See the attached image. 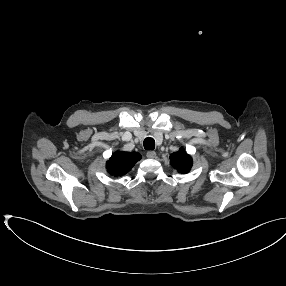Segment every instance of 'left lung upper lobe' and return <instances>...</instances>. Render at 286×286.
I'll return each instance as SVG.
<instances>
[{
	"instance_id": "5c2ea615",
	"label": "left lung upper lobe",
	"mask_w": 286,
	"mask_h": 286,
	"mask_svg": "<svg viewBox=\"0 0 286 286\" xmlns=\"http://www.w3.org/2000/svg\"><path fill=\"white\" fill-rule=\"evenodd\" d=\"M171 165L180 173H188L192 167V158L182 149L170 155Z\"/></svg>"
}]
</instances>
